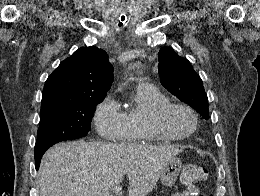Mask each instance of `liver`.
Returning <instances> with one entry per match:
<instances>
[{
  "mask_svg": "<svg viewBox=\"0 0 260 196\" xmlns=\"http://www.w3.org/2000/svg\"><path fill=\"white\" fill-rule=\"evenodd\" d=\"M182 146L61 142L45 152L38 172L40 196H111L129 178L127 196H148Z\"/></svg>",
  "mask_w": 260,
  "mask_h": 196,
  "instance_id": "liver-1",
  "label": "liver"
}]
</instances>
